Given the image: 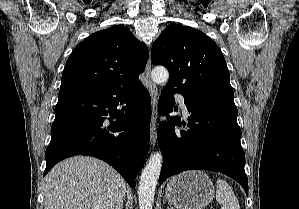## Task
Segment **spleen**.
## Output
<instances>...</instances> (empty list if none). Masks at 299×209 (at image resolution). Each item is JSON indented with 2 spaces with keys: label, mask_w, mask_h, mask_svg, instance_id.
<instances>
[{
  "label": "spleen",
  "mask_w": 299,
  "mask_h": 209,
  "mask_svg": "<svg viewBox=\"0 0 299 209\" xmlns=\"http://www.w3.org/2000/svg\"><path fill=\"white\" fill-rule=\"evenodd\" d=\"M216 188V200L222 205V209H240L238 199L225 180L218 179Z\"/></svg>",
  "instance_id": "obj_1"
}]
</instances>
